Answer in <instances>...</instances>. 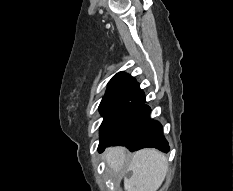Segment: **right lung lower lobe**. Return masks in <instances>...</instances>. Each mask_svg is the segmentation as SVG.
<instances>
[{"label":"right lung lower lobe","instance_id":"right-lung-lower-lobe-1","mask_svg":"<svg viewBox=\"0 0 233 191\" xmlns=\"http://www.w3.org/2000/svg\"><path fill=\"white\" fill-rule=\"evenodd\" d=\"M128 104L117 121L100 138L98 151L111 145H123L130 151L144 147H154L163 152L169 151L168 142L163 136L162 126L150 119V107L146 105L144 92L139 84L126 94Z\"/></svg>","mask_w":233,"mask_h":191}]
</instances>
